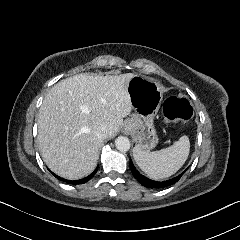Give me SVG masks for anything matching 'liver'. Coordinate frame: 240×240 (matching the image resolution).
Masks as SVG:
<instances>
[{
    "label": "liver",
    "mask_w": 240,
    "mask_h": 240,
    "mask_svg": "<svg viewBox=\"0 0 240 240\" xmlns=\"http://www.w3.org/2000/svg\"><path fill=\"white\" fill-rule=\"evenodd\" d=\"M133 73L108 76L77 74L55 84L39 109L38 141L46 165L57 175L81 179L94 171L104 139L113 138L132 111L127 92Z\"/></svg>",
    "instance_id": "liver-1"
}]
</instances>
